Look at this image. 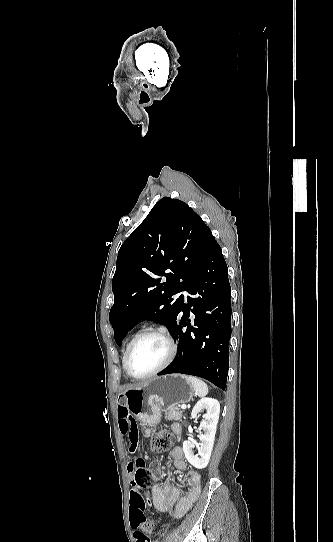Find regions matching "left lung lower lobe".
<instances>
[{"label":"left lung lower lobe","mask_w":333,"mask_h":542,"mask_svg":"<svg viewBox=\"0 0 333 542\" xmlns=\"http://www.w3.org/2000/svg\"><path fill=\"white\" fill-rule=\"evenodd\" d=\"M187 291L194 297H187V305L183 302V316L172 331L179 340L176 357L158 375H194L225 390L231 337V287L226 262L214 238ZM190 311L196 316L192 321L195 327L190 323Z\"/></svg>","instance_id":"0a47b994"}]
</instances>
